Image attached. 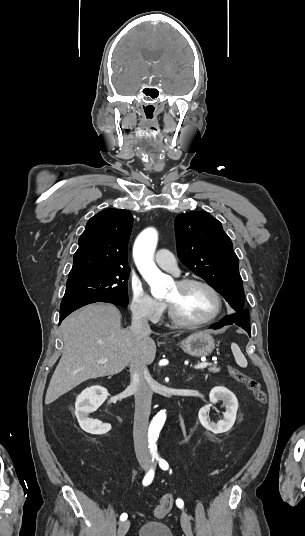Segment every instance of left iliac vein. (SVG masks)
Returning <instances> with one entry per match:
<instances>
[{"label": "left iliac vein", "mask_w": 305, "mask_h": 536, "mask_svg": "<svg viewBox=\"0 0 305 536\" xmlns=\"http://www.w3.org/2000/svg\"><path fill=\"white\" fill-rule=\"evenodd\" d=\"M181 526L185 533V536H193L191 522L188 515L185 512L181 514Z\"/></svg>", "instance_id": "left-iliac-vein-1"}]
</instances>
